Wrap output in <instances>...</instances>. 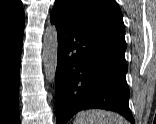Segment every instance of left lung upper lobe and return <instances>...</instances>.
<instances>
[{
    "label": "left lung upper lobe",
    "instance_id": "left-lung-upper-lobe-1",
    "mask_svg": "<svg viewBox=\"0 0 156 124\" xmlns=\"http://www.w3.org/2000/svg\"><path fill=\"white\" fill-rule=\"evenodd\" d=\"M54 8L71 22L126 46L122 13L115 0H57Z\"/></svg>",
    "mask_w": 156,
    "mask_h": 124
}]
</instances>
